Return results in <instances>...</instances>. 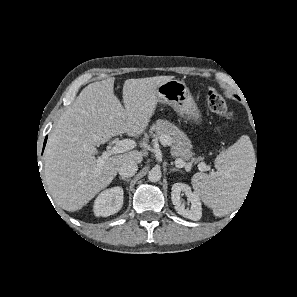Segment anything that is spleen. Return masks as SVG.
Listing matches in <instances>:
<instances>
[{"label":"spleen","instance_id":"1","mask_svg":"<svg viewBox=\"0 0 297 297\" xmlns=\"http://www.w3.org/2000/svg\"><path fill=\"white\" fill-rule=\"evenodd\" d=\"M255 166V153L250 139L242 136L215 160L216 175L196 173L192 177L204 204L221 217L237 207L249 187Z\"/></svg>","mask_w":297,"mask_h":297}]
</instances>
